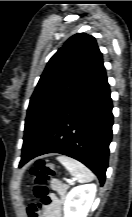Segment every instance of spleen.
<instances>
[{"label": "spleen", "instance_id": "3e777b00", "mask_svg": "<svg viewBox=\"0 0 132 217\" xmlns=\"http://www.w3.org/2000/svg\"><path fill=\"white\" fill-rule=\"evenodd\" d=\"M57 160L74 176L78 182L85 183L94 179V174L84 164L68 156H58Z\"/></svg>", "mask_w": 132, "mask_h": 217}]
</instances>
